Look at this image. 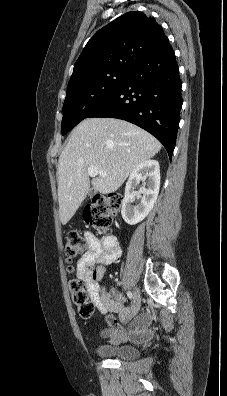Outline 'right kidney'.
<instances>
[{
	"mask_svg": "<svg viewBox=\"0 0 227 396\" xmlns=\"http://www.w3.org/2000/svg\"><path fill=\"white\" fill-rule=\"evenodd\" d=\"M143 183L141 202L133 205L135 197H140V192L135 189ZM160 188V168L156 160H146L136 166L130 174L125 187V197L122 202L121 214L124 221L134 225L142 221L152 210Z\"/></svg>",
	"mask_w": 227,
	"mask_h": 396,
	"instance_id": "ca27d5eb",
	"label": "right kidney"
}]
</instances>
